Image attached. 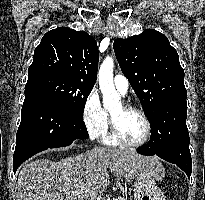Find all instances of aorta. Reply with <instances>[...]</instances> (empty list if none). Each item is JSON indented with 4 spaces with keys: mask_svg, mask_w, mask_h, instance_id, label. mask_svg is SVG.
Segmentation results:
<instances>
[{
    "mask_svg": "<svg viewBox=\"0 0 205 200\" xmlns=\"http://www.w3.org/2000/svg\"><path fill=\"white\" fill-rule=\"evenodd\" d=\"M114 61L111 57H106L99 69V85L103 94V106L110 109L120 105V96L115 90L113 83Z\"/></svg>",
    "mask_w": 205,
    "mask_h": 200,
    "instance_id": "1",
    "label": "aorta"
}]
</instances>
